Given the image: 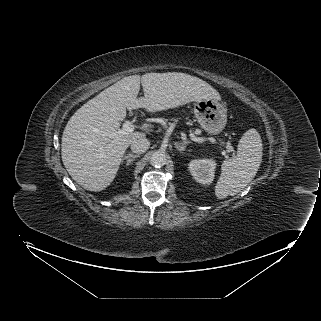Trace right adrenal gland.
I'll return each instance as SVG.
<instances>
[{
	"label": "right adrenal gland",
	"mask_w": 321,
	"mask_h": 321,
	"mask_svg": "<svg viewBox=\"0 0 321 321\" xmlns=\"http://www.w3.org/2000/svg\"><path fill=\"white\" fill-rule=\"evenodd\" d=\"M138 157H139L138 154L137 155L128 154V155H125V156L122 157L121 162H123L124 160H127V164L126 165L129 166L130 163H132L133 160H135Z\"/></svg>",
	"instance_id": "obj_1"
}]
</instances>
